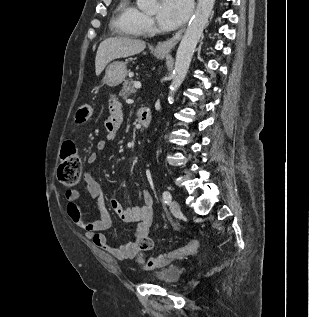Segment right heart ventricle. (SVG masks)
Segmentation results:
<instances>
[{
	"label": "right heart ventricle",
	"mask_w": 309,
	"mask_h": 317,
	"mask_svg": "<svg viewBox=\"0 0 309 317\" xmlns=\"http://www.w3.org/2000/svg\"><path fill=\"white\" fill-rule=\"evenodd\" d=\"M143 13L131 0H120L113 26L116 31L124 36L138 37L141 35V18Z\"/></svg>",
	"instance_id": "obj_1"
}]
</instances>
